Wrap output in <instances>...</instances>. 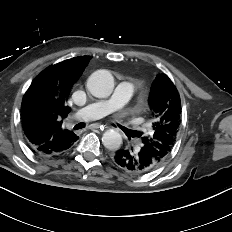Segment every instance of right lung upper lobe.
<instances>
[{
  "mask_svg": "<svg viewBox=\"0 0 232 232\" xmlns=\"http://www.w3.org/2000/svg\"><path fill=\"white\" fill-rule=\"evenodd\" d=\"M90 56L74 57L50 66L31 83L21 105L22 126H33L37 134L34 140L42 144L54 134H71L62 127V118L70 108L65 102L74 83L89 63Z\"/></svg>",
  "mask_w": 232,
  "mask_h": 232,
  "instance_id": "right-lung-upper-lobe-1",
  "label": "right lung upper lobe"
}]
</instances>
